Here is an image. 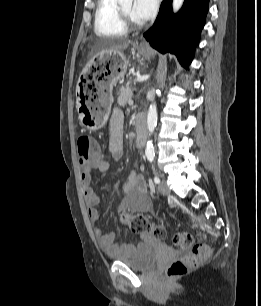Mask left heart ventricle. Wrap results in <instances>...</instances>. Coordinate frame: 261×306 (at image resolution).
<instances>
[{
    "label": "left heart ventricle",
    "mask_w": 261,
    "mask_h": 306,
    "mask_svg": "<svg viewBox=\"0 0 261 306\" xmlns=\"http://www.w3.org/2000/svg\"><path fill=\"white\" fill-rule=\"evenodd\" d=\"M133 0H128L124 2L121 6L124 9V11L135 21L140 22L133 13Z\"/></svg>",
    "instance_id": "1"
}]
</instances>
